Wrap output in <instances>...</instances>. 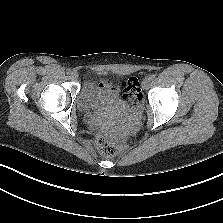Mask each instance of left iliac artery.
<instances>
[{
	"label": "left iliac artery",
	"mask_w": 223,
	"mask_h": 223,
	"mask_svg": "<svg viewBox=\"0 0 223 223\" xmlns=\"http://www.w3.org/2000/svg\"><path fill=\"white\" fill-rule=\"evenodd\" d=\"M155 77H156V75L151 74V75L149 76V79H150V80H153V79H155Z\"/></svg>",
	"instance_id": "obj_1"
}]
</instances>
